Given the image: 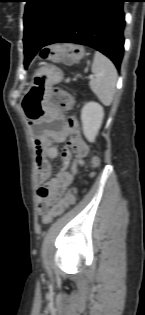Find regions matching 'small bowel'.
<instances>
[{"mask_svg": "<svg viewBox=\"0 0 145 315\" xmlns=\"http://www.w3.org/2000/svg\"><path fill=\"white\" fill-rule=\"evenodd\" d=\"M68 133L71 137L68 141V146L65 147L61 154L60 172L49 179L51 164L49 159L58 156L57 142H62L67 138ZM32 147L35 149V168L36 182L40 185L39 195V212L42 214L43 222L49 223L50 207L58 200L73 183L78 168L84 164V159L88 155L89 148L76 128L74 119H68L66 126L56 133L46 131L41 140H32ZM71 149L75 153L76 159L69 171H65L68 167L71 158Z\"/></svg>", "mask_w": 145, "mask_h": 315, "instance_id": "c3829d8e", "label": "small bowel"}]
</instances>
